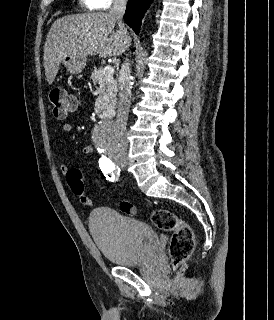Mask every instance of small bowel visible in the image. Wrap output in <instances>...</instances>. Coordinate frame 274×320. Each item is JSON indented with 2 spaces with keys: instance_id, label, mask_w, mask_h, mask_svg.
Masks as SVG:
<instances>
[{
  "instance_id": "c3829d8e",
  "label": "small bowel",
  "mask_w": 274,
  "mask_h": 320,
  "mask_svg": "<svg viewBox=\"0 0 274 320\" xmlns=\"http://www.w3.org/2000/svg\"><path fill=\"white\" fill-rule=\"evenodd\" d=\"M62 129L65 133H71L73 131V125L71 123H64L62 126ZM93 151H94L93 146H86L82 150V152L84 154H91ZM59 169L62 173H67V171L69 170V168L66 164H61ZM80 201L86 205H91V203H92L91 199L88 197H86L84 200L80 199Z\"/></svg>"
}]
</instances>
